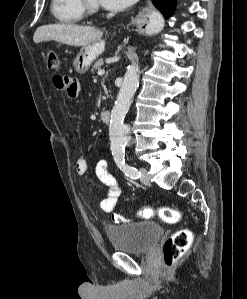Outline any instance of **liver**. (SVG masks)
I'll return each mask as SVG.
<instances>
[{"mask_svg": "<svg viewBox=\"0 0 247 299\" xmlns=\"http://www.w3.org/2000/svg\"><path fill=\"white\" fill-rule=\"evenodd\" d=\"M103 32L96 27L74 24H50L36 29L33 41L38 44L46 41H57L75 47H84L100 41Z\"/></svg>", "mask_w": 247, "mask_h": 299, "instance_id": "1", "label": "liver"}]
</instances>
